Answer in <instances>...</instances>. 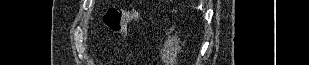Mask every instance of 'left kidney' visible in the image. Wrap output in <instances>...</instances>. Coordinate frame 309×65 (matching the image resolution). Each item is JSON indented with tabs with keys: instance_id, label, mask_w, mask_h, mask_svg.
<instances>
[{
	"instance_id": "1",
	"label": "left kidney",
	"mask_w": 309,
	"mask_h": 65,
	"mask_svg": "<svg viewBox=\"0 0 309 65\" xmlns=\"http://www.w3.org/2000/svg\"><path fill=\"white\" fill-rule=\"evenodd\" d=\"M180 39L177 34L168 35L165 40L163 48L161 49V60L165 65H174L176 62L177 54L180 51Z\"/></svg>"
}]
</instances>
